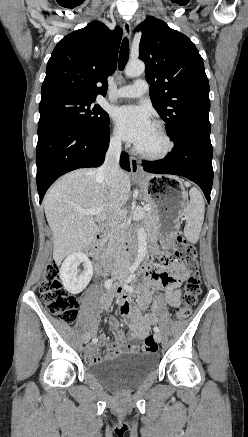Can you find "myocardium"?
Returning <instances> with one entry per match:
<instances>
[{"instance_id": "1", "label": "myocardium", "mask_w": 248, "mask_h": 437, "mask_svg": "<svg viewBox=\"0 0 248 437\" xmlns=\"http://www.w3.org/2000/svg\"><path fill=\"white\" fill-rule=\"evenodd\" d=\"M153 126H155L158 131L160 132L164 142H165V147L162 151L157 152V153H150V152H146L144 150H142L141 148H139L137 145L135 146V151L138 155H140L142 158L148 160V161H161L165 158H167L173 151L174 149V142L170 136V134L168 133L165 125L160 122V121H155L153 123Z\"/></svg>"}]
</instances>
